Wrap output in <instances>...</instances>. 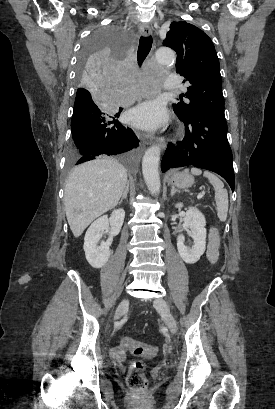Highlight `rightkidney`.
Instances as JSON below:
<instances>
[{
	"label": "right kidney",
	"instance_id": "1",
	"mask_svg": "<svg viewBox=\"0 0 275 409\" xmlns=\"http://www.w3.org/2000/svg\"><path fill=\"white\" fill-rule=\"evenodd\" d=\"M124 219V209H117V211H113L109 219L107 215H104V217L96 219L91 227H89L84 237L83 249L85 251V257L93 269H101L103 265H106L110 255H112L110 247L113 237L119 235ZM109 225H111L110 237L105 243H101L98 247V241H100L102 237V231L107 229Z\"/></svg>",
	"mask_w": 275,
	"mask_h": 409
}]
</instances>
